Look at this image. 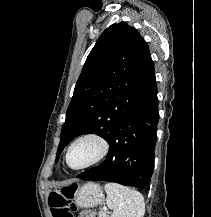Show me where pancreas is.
<instances>
[{
  "instance_id": "1",
  "label": "pancreas",
  "mask_w": 211,
  "mask_h": 217,
  "mask_svg": "<svg viewBox=\"0 0 211 217\" xmlns=\"http://www.w3.org/2000/svg\"><path fill=\"white\" fill-rule=\"evenodd\" d=\"M98 216H99V217H108V216L106 215V213H105L104 211H102V210L98 213Z\"/></svg>"
}]
</instances>
